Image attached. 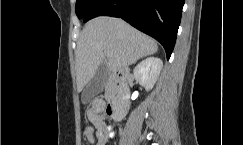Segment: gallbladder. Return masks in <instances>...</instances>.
I'll return each instance as SVG.
<instances>
[{"mask_svg":"<svg viewBox=\"0 0 243 145\" xmlns=\"http://www.w3.org/2000/svg\"><path fill=\"white\" fill-rule=\"evenodd\" d=\"M109 73L106 64H101L89 84L82 93V102L87 103L93 97L101 93L108 81Z\"/></svg>","mask_w":243,"mask_h":145,"instance_id":"bac80fb5","label":"gallbladder"}]
</instances>
